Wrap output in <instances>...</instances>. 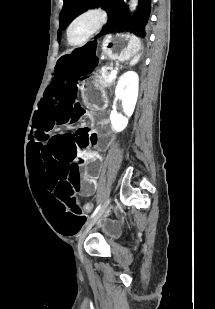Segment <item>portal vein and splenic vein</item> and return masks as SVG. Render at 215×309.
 <instances>
[{
	"instance_id": "portal-vein-and-splenic-vein-1",
	"label": "portal vein and splenic vein",
	"mask_w": 215,
	"mask_h": 309,
	"mask_svg": "<svg viewBox=\"0 0 215 309\" xmlns=\"http://www.w3.org/2000/svg\"><path fill=\"white\" fill-rule=\"evenodd\" d=\"M117 70H111V74L109 76V80H112V78H116Z\"/></svg>"
}]
</instances>
